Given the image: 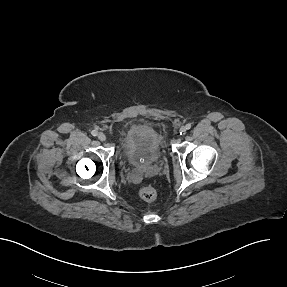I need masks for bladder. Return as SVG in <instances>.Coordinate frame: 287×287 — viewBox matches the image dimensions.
I'll list each match as a JSON object with an SVG mask.
<instances>
[{
  "label": "bladder",
  "mask_w": 287,
  "mask_h": 287,
  "mask_svg": "<svg viewBox=\"0 0 287 287\" xmlns=\"http://www.w3.org/2000/svg\"><path fill=\"white\" fill-rule=\"evenodd\" d=\"M163 150V139L152 127L132 125L121 137V156L131 165L152 163L157 160Z\"/></svg>",
  "instance_id": "1"
}]
</instances>
